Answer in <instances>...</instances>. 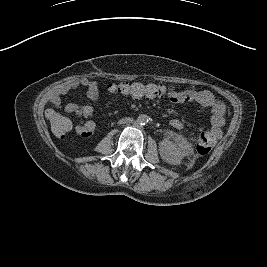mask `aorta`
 <instances>
[{"label": "aorta", "instance_id": "obj_1", "mask_svg": "<svg viewBox=\"0 0 267 267\" xmlns=\"http://www.w3.org/2000/svg\"><path fill=\"white\" fill-rule=\"evenodd\" d=\"M148 121H149V117L146 114H141V115L138 116L136 122L139 125H145V124L148 123Z\"/></svg>", "mask_w": 267, "mask_h": 267}]
</instances>
